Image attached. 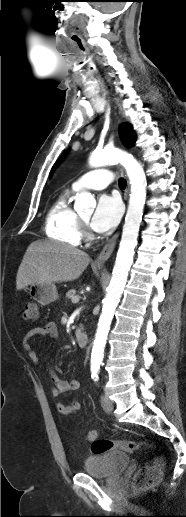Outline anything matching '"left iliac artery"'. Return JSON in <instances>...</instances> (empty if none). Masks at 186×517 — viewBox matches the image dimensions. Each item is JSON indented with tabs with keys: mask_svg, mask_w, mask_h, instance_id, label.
<instances>
[{
	"mask_svg": "<svg viewBox=\"0 0 186 517\" xmlns=\"http://www.w3.org/2000/svg\"><path fill=\"white\" fill-rule=\"evenodd\" d=\"M92 378L94 379V381H98L97 371H92Z\"/></svg>",
	"mask_w": 186,
	"mask_h": 517,
	"instance_id": "44dca946",
	"label": "left iliac artery"
}]
</instances>
